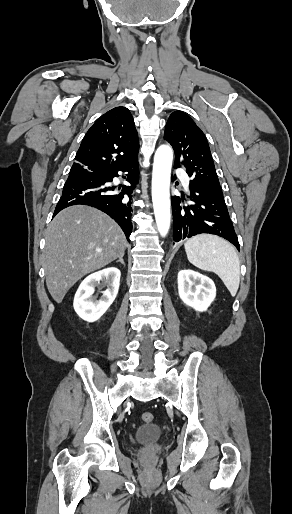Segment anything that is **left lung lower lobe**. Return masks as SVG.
<instances>
[{"mask_svg":"<svg viewBox=\"0 0 292 514\" xmlns=\"http://www.w3.org/2000/svg\"><path fill=\"white\" fill-rule=\"evenodd\" d=\"M177 168V167H175ZM190 196L193 202L184 206L182 197L171 198L173 214V240L179 242L191 236L209 233L223 237L239 250V242L229 217L223 193L209 192L192 184Z\"/></svg>","mask_w":292,"mask_h":514,"instance_id":"1","label":"left lung lower lobe"}]
</instances>
